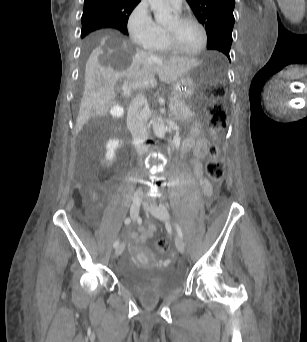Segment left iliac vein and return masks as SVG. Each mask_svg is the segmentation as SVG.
<instances>
[{"instance_id":"1","label":"left iliac vein","mask_w":307,"mask_h":342,"mask_svg":"<svg viewBox=\"0 0 307 342\" xmlns=\"http://www.w3.org/2000/svg\"><path fill=\"white\" fill-rule=\"evenodd\" d=\"M145 210L150 212L153 216H155L158 219H161L163 221H169V212L164 206H157V205H152L149 206L147 203L143 204ZM176 248L177 250L181 253L184 254L185 252V243L181 239V237L177 236L175 240Z\"/></svg>"}]
</instances>
